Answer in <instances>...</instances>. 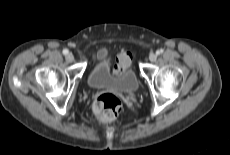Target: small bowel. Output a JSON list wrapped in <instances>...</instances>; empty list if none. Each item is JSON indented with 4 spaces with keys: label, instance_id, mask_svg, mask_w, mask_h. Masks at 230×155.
I'll use <instances>...</instances> for the list:
<instances>
[{
    "label": "small bowel",
    "instance_id": "small-bowel-1",
    "mask_svg": "<svg viewBox=\"0 0 230 155\" xmlns=\"http://www.w3.org/2000/svg\"><path fill=\"white\" fill-rule=\"evenodd\" d=\"M125 55H126V53H121L118 56L117 63H116L115 68H114L115 73L122 72V71L126 70V68L128 67V65L130 63V60H126ZM105 57H106V51L105 50H100L99 52H97L94 55V60L99 61V60H101V59H103Z\"/></svg>",
    "mask_w": 230,
    "mask_h": 155
}]
</instances>
